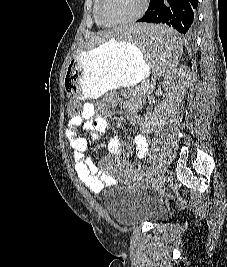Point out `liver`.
<instances>
[{"instance_id": "liver-1", "label": "liver", "mask_w": 227, "mask_h": 267, "mask_svg": "<svg viewBox=\"0 0 227 267\" xmlns=\"http://www.w3.org/2000/svg\"><path fill=\"white\" fill-rule=\"evenodd\" d=\"M119 33H122V30H117V27L112 30L98 33L91 37L89 44L91 47L99 46L110 39L116 38Z\"/></svg>"}]
</instances>
